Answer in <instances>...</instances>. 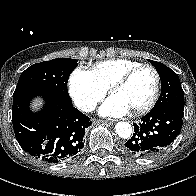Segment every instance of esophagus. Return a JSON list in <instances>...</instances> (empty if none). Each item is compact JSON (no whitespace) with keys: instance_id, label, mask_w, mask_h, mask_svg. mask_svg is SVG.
<instances>
[{"instance_id":"obj_1","label":"esophagus","mask_w":196,"mask_h":196,"mask_svg":"<svg viewBox=\"0 0 196 196\" xmlns=\"http://www.w3.org/2000/svg\"><path fill=\"white\" fill-rule=\"evenodd\" d=\"M102 123H106V124H111L113 123L112 121H101Z\"/></svg>"}]
</instances>
